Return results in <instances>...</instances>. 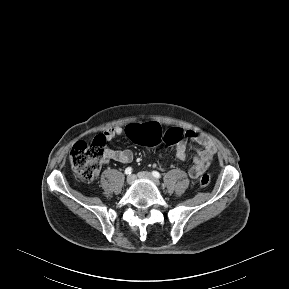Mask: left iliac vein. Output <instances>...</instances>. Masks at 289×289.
Masks as SVG:
<instances>
[{
  "label": "left iliac vein",
  "mask_w": 289,
  "mask_h": 289,
  "mask_svg": "<svg viewBox=\"0 0 289 289\" xmlns=\"http://www.w3.org/2000/svg\"><path fill=\"white\" fill-rule=\"evenodd\" d=\"M137 177H138L139 179L149 180V181H151L152 183H154L156 186H159V185H160L159 181H158L154 176H152V174H150L149 172H145V171L139 172V173L137 174Z\"/></svg>",
  "instance_id": "obj_1"
}]
</instances>
